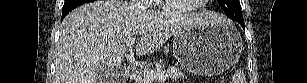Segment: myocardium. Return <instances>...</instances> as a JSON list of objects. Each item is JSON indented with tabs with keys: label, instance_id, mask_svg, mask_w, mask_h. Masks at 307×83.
<instances>
[{
	"label": "myocardium",
	"instance_id": "1",
	"mask_svg": "<svg viewBox=\"0 0 307 83\" xmlns=\"http://www.w3.org/2000/svg\"><path fill=\"white\" fill-rule=\"evenodd\" d=\"M200 1H201L200 3H196L194 6L190 8H175L172 5L171 0H165L162 2L160 7L170 14H174L178 16H185L191 13H195L199 11L200 9H202L203 3H206L207 1H203V0H200Z\"/></svg>",
	"mask_w": 307,
	"mask_h": 83
}]
</instances>
